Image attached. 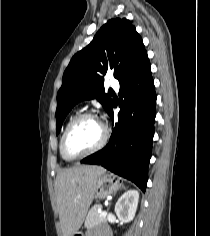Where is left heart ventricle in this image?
<instances>
[{
    "label": "left heart ventricle",
    "mask_w": 210,
    "mask_h": 236,
    "mask_svg": "<svg viewBox=\"0 0 210 236\" xmlns=\"http://www.w3.org/2000/svg\"><path fill=\"white\" fill-rule=\"evenodd\" d=\"M102 126L93 118H84L71 128L66 139V152L69 156L80 155L96 146L102 137Z\"/></svg>",
    "instance_id": "b2bd125f"
}]
</instances>
